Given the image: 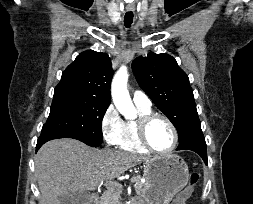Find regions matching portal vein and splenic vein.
Instances as JSON below:
<instances>
[{"instance_id": "1", "label": "portal vein and splenic vein", "mask_w": 253, "mask_h": 204, "mask_svg": "<svg viewBox=\"0 0 253 204\" xmlns=\"http://www.w3.org/2000/svg\"><path fill=\"white\" fill-rule=\"evenodd\" d=\"M136 180H137V177H136V176H133V177L130 179V182H131V183H134Z\"/></svg>"}]
</instances>
